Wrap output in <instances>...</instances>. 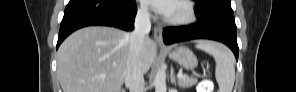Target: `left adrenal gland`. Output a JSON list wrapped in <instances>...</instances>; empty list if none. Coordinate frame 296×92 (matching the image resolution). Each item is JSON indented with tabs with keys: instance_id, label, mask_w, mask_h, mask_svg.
Listing matches in <instances>:
<instances>
[{
	"instance_id": "a2214340",
	"label": "left adrenal gland",
	"mask_w": 296,
	"mask_h": 92,
	"mask_svg": "<svg viewBox=\"0 0 296 92\" xmlns=\"http://www.w3.org/2000/svg\"><path fill=\"white\" fill-rule=\"evenodd\" d=\"M170 81L172 85H175V86L177 85L173 68L171 69Z\"/></svg>"
}]
</instances>
